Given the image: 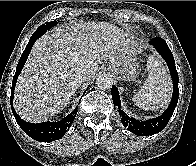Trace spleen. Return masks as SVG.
Masks as SVG:
<instances>
[{
    "label": "spleen",
    "mask_w": 196,
    "mask_h": 166,
    "mask_svg": "<svg viewBox=\"0 0 196 166\" xmlns=\"http://www.w3.org/2000/svg\"><path fill=\"white\" fill-rule=\"evenodd\" d=\"M148 77L143 86L133 95V102L144 110L164 107L172 94L171 81L162 61L149 56L147 62Z\"/></svg>",
    "instance_id": "3e777b00"
}]
</instances>
